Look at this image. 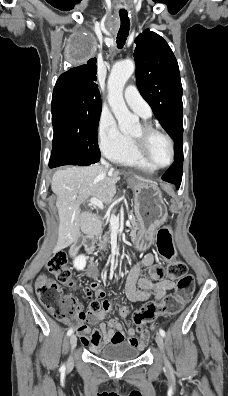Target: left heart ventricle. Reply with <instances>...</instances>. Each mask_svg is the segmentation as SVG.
Masks as SVG:
<instances>
[{"label":"left heart ventricle","mask_w":228,"mask_h":396,"mask_svg":"<svg viewBox=\"0 0 228 396\" xmlns=\"http://www.w3.org/2000/svg\"><path fill=\"white\" fill-rule=\"evenodd\" d=\"M132 137L143 136L141 125L132 133ZM147 152L151 162L157 166L166 164L170 160L171 150L168 141L161 135L153 134L147 139Z\"/></svg>","instance_id":"obj_1"}]
</instances>
